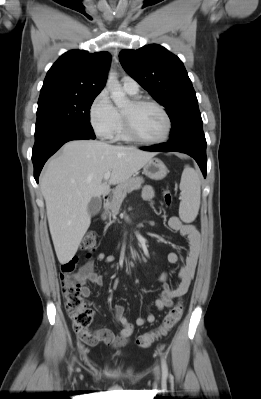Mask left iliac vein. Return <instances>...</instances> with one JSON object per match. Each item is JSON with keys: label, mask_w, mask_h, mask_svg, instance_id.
Instances as JSON below:
<instances>
[{"label": "left iliac vein", "mask_w": 261, "mask_h": 399, "mask_svg": "<svg viewBox=\"0 0 261 399\" xmlns=\"http://www.w3.org/2000/svg\"><path fill=\"white\" fill-rule=\"evenodd\" d=\"M154 374H155L156 377H159V375H160L159 367H156V368L154 369Z\"/></svg>", "instance_id": "left-iliac-vein-1"}]
</instances>
